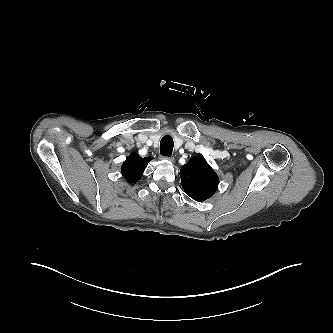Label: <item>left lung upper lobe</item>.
<instances>
[{"instance_id":"1","label":"left lung upper lobe","mask_w":333,"mask_h":333,"mask_svg":"<svg viewBox=\"0 0 333 333\" xmlns=\"http://www.w3.org/2000/svg\"><path fill=\"white\" fill-rule=\"evenodd\" d=\"M182 187L192 199L202 202L217 190L219 179L204 157L191 158L180 169Z\"/></svg>"}]
</instances>
